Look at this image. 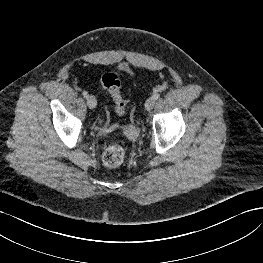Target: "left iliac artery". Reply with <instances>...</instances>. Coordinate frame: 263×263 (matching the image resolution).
<instances>
[{"instance_id": "left-iliac-artery-1", "label": "left iliac artery", "mask_w": 263, "mask_h": 263, "mask_svg": "<svg viewBox=\"0 0 263 263\" xmlns=\"http://www.w3.org/2000/svg\"><path fill=\"white\" fill-rule=\"evenodd\" d=\"M159 97H160V94H159V93H155V94L153 95V98H154L155 100H157Z\"/></svg>"}]
</instances>
